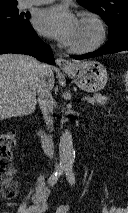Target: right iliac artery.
I'll list each match as a JSON object with an SVG mask.
<instances>
[{"instance_id": "1", "label": "right iliac artery", "mask_w": 128, "mask_h": 213, "mask_svg": "<svg viewBox=\"0 0 128 213\" xmlns=\"http://www.w3.org/2000/svg\"><path fill=\"white\" fill-rule=\"evenodd\" d=\"M65 167V165H60L59 168L49 177L48 184L50 186H53L57 183L61 173L63 172V170H65Z\"/></svg>"}]
</instances>
